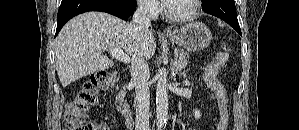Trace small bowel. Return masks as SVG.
Returning a JSON list of instances; mask_svg holds the SVG:
<instances>
[{
	"mask_svg": "<svg viewBox=\"0 0 299 130\" xmlns=\"http://www.w3.org/2000/svg\"><path fill=\"white\" fill-rule=\"evenodd\" d=\"M103 128H104L105 130H108V128H107L106 126H103Z\"/></svg>",
	"mask_w": 299,
	"mask_h": 130,
	"instance_id": "small-bowel-1",
	"label": "small bowel"
}]
</instances>
